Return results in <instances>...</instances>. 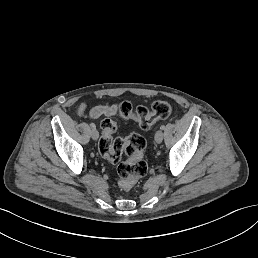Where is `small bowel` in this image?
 <instances>
[{
	"instance_id": "c3829d8e",
	"label": "small bowel",
	"mask_w": 258,
	"mask_h": 258,
	"mask_svg": "<svg viewBox=\"0 0 258 258\" xmlns=\"http://www.w3.org/2000/svg\"><path fill=\"white\" fill-rule=\"evenodd\" d=\"M86 110V106L82 105L79 108V114H83ZM118 105H98L90 109L89 115L91 118H99L101 116H114L118 113Z\"/></svg>"
}]
</instances>
